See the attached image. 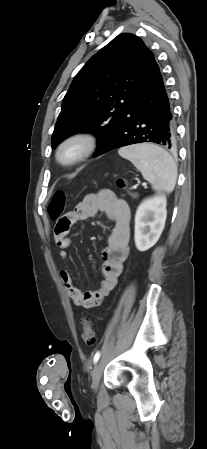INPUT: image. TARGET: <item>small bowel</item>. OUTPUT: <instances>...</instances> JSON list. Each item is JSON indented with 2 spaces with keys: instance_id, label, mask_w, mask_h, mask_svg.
Segmentation results:
<instances>
[{
  "instance_id": "small-bowel-1",
  "label": "small bowel",
  "mask_w": 207,
  "mask_h": 449,
  "mask_svg": "<svg viewBox=\"0 0 207 449\" xmlns=\"http://www.w3.org/2000/svg\"><path fill=\"white\" fill-rule=\"evenodd\" d=\"M104 213L113 222L106 248L103 252L102 281L98 289L82 292L73 283L66 270L60 271L67 295L76 306L92 308L100 304L115 288L123 271L124 262L130 252V209L125 200L117 197L110 190L87 195L77 206L64 215L56 226L55 241L60 248L59 257L68 258L67 248L70 246L68 237L71 228L80 221L97 213Z\"/></svg>"
}]
</instances>
